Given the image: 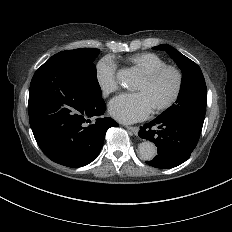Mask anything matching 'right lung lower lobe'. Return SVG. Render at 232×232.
<instances>
[{
    "label": "right lung lower lobe",
    "mask_w": 232,
    "mask_h": 232,
    "mask_svg": "<svg viewBox=\"0 0 232 232\" xmlns=\"http://www.w3.org/2000/svg\"><path fill=\"white\" fill-rule=\"evenodd\" d=\"M92 88L78 66L59 60H47L32 78L30 126L40 149L58 164H89L100 153L107 130L118 126L110 117L95 119L106 105Z\"/></svg>",
    "instance_id": "obj_1"
}]
</instances>
